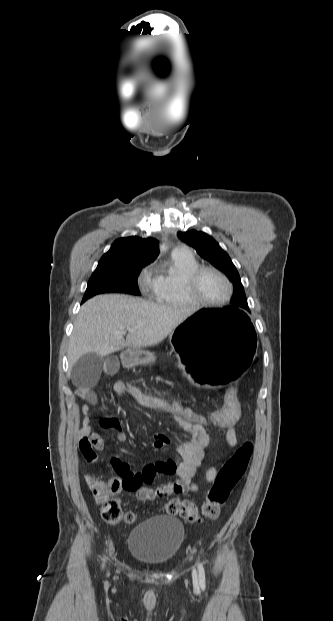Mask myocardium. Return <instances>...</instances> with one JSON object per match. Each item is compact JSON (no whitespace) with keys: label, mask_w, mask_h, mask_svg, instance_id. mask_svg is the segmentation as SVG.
Returning <instances> with one entry per match:
<instances>
[{"label":"myocardium","mask_w":333,"mask_h":621,"mask_svg":"<svg viewBox=\"0 0 333 621\" xmlns=\"http://www.w3.org/2000/svg\"><path fill=\"white\" fill-rule=\"evenodd\" d=\"M207 272H211L214 273L216 275H218L220 278H222L224 280V282L227 285L228 288V292L227 295L219 300V301H209V300H205L203 299L197 292V284L198 281L200 279V277ZM185 290L186 293L188 295V297L190 298V300L192 301L193 304L195 305H202V306H211V307H216V306H222L225 305L226 303L229 302V300L232 297L233 294V284L231 282V280L227 277V275L222 272L221 270L215 268V267H211V266H202V267H198L196 270H194L186 279L185 282Z\"/></svg>","instance_id":"f54148a6"}]
</instances>
